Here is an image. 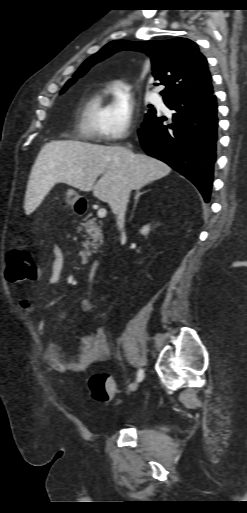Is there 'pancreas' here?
<instances>
[{
  "label": "pancreas",
  "instance_id": "pancreas-1",
  "mask_svg": "<svg viewBox=\"0 0 247 513\" xmlns=\"http://www.w3.org/2000/svg\"><path fill=\"white\" fill-rule=\"evenodd\" d=\"M102 223L97 222L96 218L83 219L80 222V226L78 227V231H84L86 233V241L83 242L84 251L81 252V255L86 258L87 256H91L92 253H96L98 247L103 242V234H102ZM92 248V250H90Z\"/></svg>",
  "mask_w": 247,
  "mask_h": 513
}]
</instances>
